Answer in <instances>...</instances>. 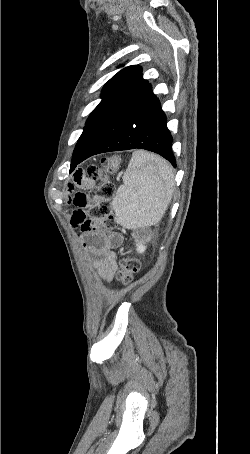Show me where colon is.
<instances>
[{
	"label": "colon",
	"mask_w": 250,
	"mask_h": 454,
	"mask_svg": "<svg viewBox=\"0 0 250 454\" xmlns=\"http://www.w3.org/2000/svg\"><path fill=\"white\" fill-rule=\"evenodd\" d=\"M120 166V158L111 156L102 160L101 166L91 165L86 170V175L97 181L98 185L92 192L94 204L88 211L89 218L94 223V230L109 229L114 226L112 215L111 199L113 198L115 187L110 181V176L116 173ZM120 269L117 278L122 282H128L140 270V262L130 251H126L119 262Z\"/></svg>",
	"instance_id": "obj_1"
}]
</instances>
